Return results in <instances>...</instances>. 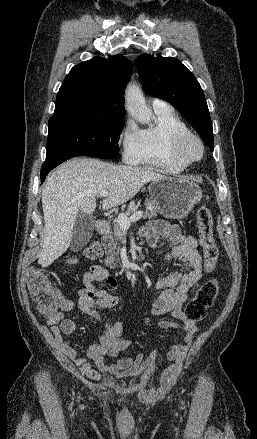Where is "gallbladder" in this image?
<instances>
[{
    "mask_svg": "<svg viewBox=\"0 0 257 439\" xmlns=\"http://www.w3.org/2000/svg\"><path fill=\"white\" fill-rule=\"evenodd\" d=\"M95 226V218L88 214H79L77 216L72 236L70 248L77 252L81 250L90 240Z\"/></svg>",
    "mask_w": 257,
    "mask_h": 439,
    "instance_id": "1",
    "label": "gallbladder"
}]
</instances>
